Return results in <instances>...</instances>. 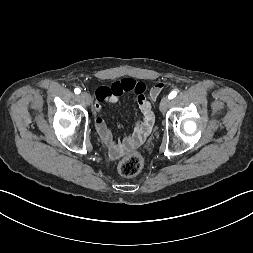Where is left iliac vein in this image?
<instances>
[{
  "label": "left iliac vein",
  "instance_id": "left-iliac-vein-1",
  "mask_svg": "<svg viewBox=\"0 0 253 253\" xmlns=\"http://www.w3.org/2000/svg\"><path fill=\"white\" fill-rule=\"evenodd\" d=\"M169 102H170L169 98L162 99L159 106L161 112H164L167 110V108L169 107Z\"/></svg>",
  "mask_w": 253,
  "mask_h": 253
}]
</instances>
